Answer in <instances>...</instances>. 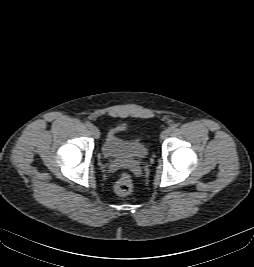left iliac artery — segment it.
<instances>
[{
	"mask_svg": "<svg viewBox=\"0 0 254 267\" xmlns=\"http://www.w3.org/2000/svg\"><path fill=\"white\" fill-rule=\"evenodd\" d=\"M176 127H177V125H176V124H173V125L170 126V129H171V130H175Z\"/></svg>",
	"mask_w": 254,
	"mask_h": 267,
	"instance_id": "obj_1",
	"label": "left iliac artery"
}]
</instances>
